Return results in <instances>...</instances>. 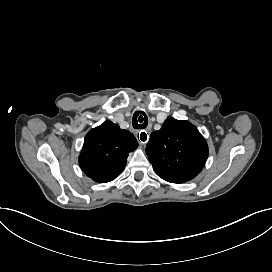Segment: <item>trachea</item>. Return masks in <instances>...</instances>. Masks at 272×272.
<instances>
[{
  "label": "trachea",
  "mask_w": 272,
  "mask_h": 272,
  "mask_svg": "<svg viewBox=\"0 0 272 272\" xmlns=\"http://www.w3.org/2000/svg\"><path fill=\"white\" fill-rule=\"evenodd\" d=\"M137 117L138 116L136 114L133 116V127L135 129H144V128H146V126L148 124V118L146 116H144V121L138 122Z\"/></svg>",
  "instance_id": "1"
}]
</instances>
